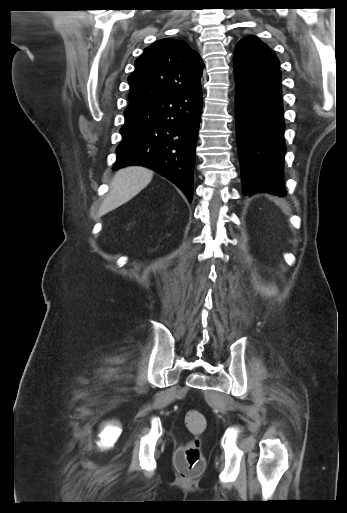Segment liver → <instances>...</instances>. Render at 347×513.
Here are the masks:
<instances>
[{
    "label": "liver",
    "mask_w": 347,
    "mask_h": 513,
    "mask_svg": "<svg viewBox=\"0 0 347 513\" xmlns=\"http://www.w3.org/2000/svg\"><path fill=\"white\" fill-rule=\"evenodd\" d=\"M152 177L153 171L143 166H128L118 170L100 213L106 214L127 203L151 182Z\"/></svg>",
    "instance_id": "6515ba94"
}]
</instances>
